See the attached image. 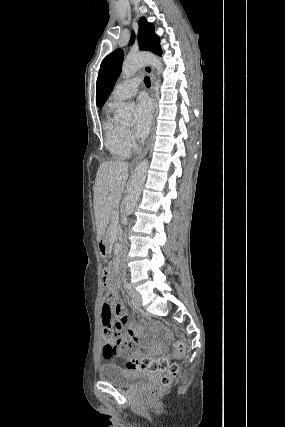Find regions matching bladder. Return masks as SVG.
Returning a JSON list of instances; mask_svg holds the SVG:
<instances>
[{"label": "bladder", "instance_id": "1", "mask_svg": "<svg viewBox=\"0 0 285 427\" xmlns=\"http://www.w3.org/2000/svg\"><path fill=\"white\" fill-rule=\"evenodd\" d=\"M98 378L102 382L128 387L137 381L153 379L155 374L144 371H127L118 364L105 363L99 367Z\"/></svg>", "mask_w": 285, "mask_h": 427}]
</instances>
